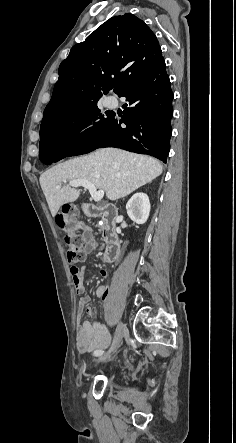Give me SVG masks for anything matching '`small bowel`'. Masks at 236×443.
<instances>
[{
	"instance_id": "small-bowel-1",
	"label": "small bowel",
	"mask_w": 236,
	"mask_h": 443,
	"mask_svg": "<svg viewBox=\"0 0 236 443\" xmlns=\"http://www.w3.org/2000/svg\"><path fill=\"white\" fill-rule=\"evenodd\" d=\"M81 238L83 241V249L86 253H91L96 248V242L93 236V231L90 227L85 226L82 230ZM70 272L74 282V289L78 295H82L78 309L80 314L85 312L87 315L92 316L94 309L88 304L91 302L89 296H85V285L83 283L82 272L77 267H71ZM109 272L106 268L100 269V276L106 278ZM109 287L107 285H101L96 290V296L105 298L107 296ZM110 344V336L106 327L96 321L87 320L81 321V315L79 316V322L76 333V346L79 352L85 353L90 351H98L107 348Z\"/></svg>"
}]
</instances>
